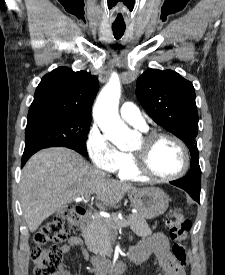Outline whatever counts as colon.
I'll list each match as a JSON object with an SVG mask.
<instances>
[{
	"label": "colon",
	"mask_w": 225,
	"mask_h": 275,
	"mask_svg": "<svg viewBox=\"0 0 225 275\" xmlns=\"http://www.w3.org/2000/svg\"><path fill=\"white\" fill-rule=\"evenodd\" d=\"M81 221V208L70 207L64 214L52 218L40 228L34 236L32 249L34 275H61L63 253L58 245L69 238V231L65 226L76 229ZM167 225L173 240L172 254L182 267L186 266L185 241L191 229V222L177 209L168 215ZM48 243L51 245L46 247Z\"/></svg>",
	"instance_id": "colon-1"
}]
</instances>
